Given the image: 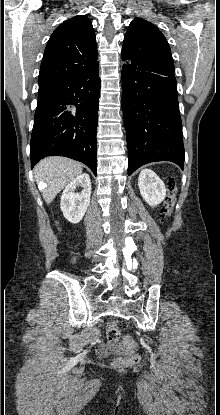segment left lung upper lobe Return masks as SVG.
<instances>
[{
	"label": "left lung upper lobe",
	"mask_w": 220,
	"mask_h": 415,
	"mask_svg": "<svg viewBox=\"0 0 220 415\" xmlns=\"http://www.w3.org/2000/svg\"><path fill=\"white\" fill-rule=\"evenodd\" d=\"M122 59L138 66L174 73L168 42L161 31L144 19L133 20L124 36Z\"/></svg>",
	"instance_id": "5c2ea615"
}]
</instances>
